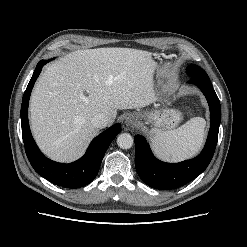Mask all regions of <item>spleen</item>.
<instances>
[{"label": "spleen", "instance_id": "spleen-1", "mask_svg": "<svg viewBox=\"0 0 247 247\" xmlns=\"http://www.w3.org/2000/svg\"><path fill=\"white\" fill-rule=\"evenodd\" d=\"M206 122L194 117L177 129L162 131L152 129L151 143L156 155L170 162H178L194 156L204 141Z\"/></svg>", "mask_w": 247, "mask_h": 247}]
</instances>
